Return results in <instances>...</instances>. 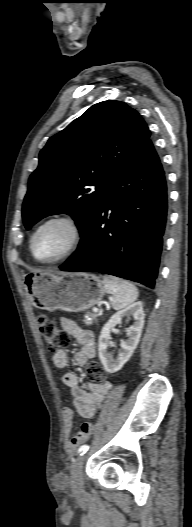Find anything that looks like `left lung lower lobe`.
Listing matches in <instances>:
<instances>
[{"label":"left lung lower lobe","instance_id":"1","mask_svg":"<svg viewBox=\"0 0 192 527\" xmlns=\"http://www.w3.org/2000/svg\"><path fill=\"white\" fill-rule=\"evenodd\" d=\"M166 219L165 174L149 140L111 183L77 250L59 268L97 271L153 288Z\"/></svg>","mask_w":192,"mask_h":527}]
</instances>
